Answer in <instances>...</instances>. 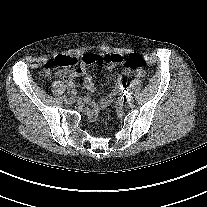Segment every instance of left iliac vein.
I'll list each match as a JSON object with an SVG mask.
<instances>
[{
  "label": "left iliac vein",
  "mask_w": 207,
  "mask_h": 207,
  "mask_svg": "<svg viewBox=\"0 0 207 207\" xmlns=\"http://www.w3.org/2000/svg\"><path fill=\"white\" fill-rule=\"evenodd\" d=\"M122 102H123V103H127V104H131V103L133 102V99H132V98H130V99L123 98V99H122Z\"/></svg>",
  "instance_id": "left-iliac-vein-1"
}]
</instances>
